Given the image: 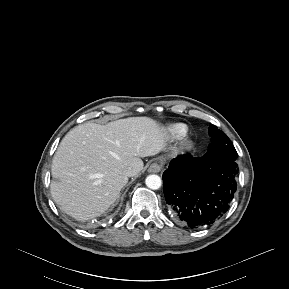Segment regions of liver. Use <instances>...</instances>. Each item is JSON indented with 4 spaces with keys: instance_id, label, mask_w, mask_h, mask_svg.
<instances>
[{
    "instance_id": "6515ba94",
    "label": "liver",
    "mask_w": 289,
    "mask_h": 289,
    "mask_svg": "<svg viewBox=\"0 0 289 289\" xmlns=\"http://www.w3.org/2000/svg\"><path fill=\"white\" fill-rule=\"evenodd\" d=\"M166 146V134L155 120L131 117L107 125L84 123L62 139L52 160L50 191L62 211L77 220L103 214L127 184L123 172L143 169L141 157Z\"/></svg>"
}]
</instances>
